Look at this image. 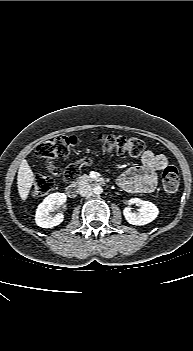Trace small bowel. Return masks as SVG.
Here are the masks:
<instances>
[{"label": "small bowel", "mask_w": 193, "mask_h": 351, "mask_svg": "<svg viewBox=\"0 0 193 351\" xmlns=\"http://www.w3.org/2000/svg\"><path fill=\"white\" fill-rule=\"evenodd\" d=\"M167 165V158L147 150L141 157V165L126 170L119 178V185L133 194H152L158 183L157 172Z\"/></svg>", "instance_id": "obj_1"}]
</instances>
